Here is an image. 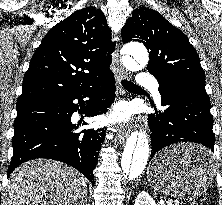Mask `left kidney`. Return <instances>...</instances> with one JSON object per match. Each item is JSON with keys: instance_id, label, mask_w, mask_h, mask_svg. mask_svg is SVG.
Wrapping results in <instances>:
<instances>
[{"instance_id": "left-kidney-1", "label": "left kidney", "mask_w": 222, "mask_h": 205, "mask_svg": "<svg viewBox=\"0 0 222 205\" xmlns=\"http://www.w3.org/2000/svg\"><path fill=\"white\" fill-rule=\"evenodd\" d=\"M134 205H156V203L147 192L143 191L137 195Z\"/></svg>"}]
</instances>
